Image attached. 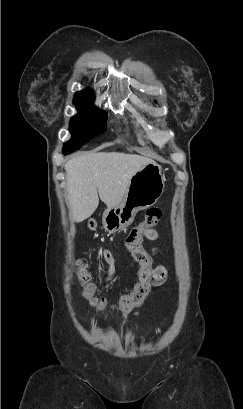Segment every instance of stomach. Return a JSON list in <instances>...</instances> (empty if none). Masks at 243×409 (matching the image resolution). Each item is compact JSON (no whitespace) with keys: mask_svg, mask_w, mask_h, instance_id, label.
<instances>
[{"mask_svg":"<svg viewBox=\"0 0 243 409\" xmlns=\"http://www.w3.org/2000/svg\"><path fill=\"white\" fill-rule=\"evenodd\" d=\"M164 181L163 168L155 162L136 171L122 202L104 211L102 216L104 229L114 233L129 226L138 211L153 206L162 196ZM88 226L95 230L97 224L95 220L90 219Z\"/></svg>","mask_w":243,"mask_h":409,"instance_id":"stomach-1","label":"stomach"}]
</instances>
